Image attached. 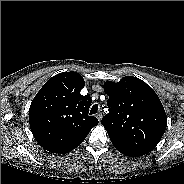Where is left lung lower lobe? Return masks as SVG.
<instances>
[{"label":"left lung lower lobe","instance_id":"1","mask_svg":"<svg viewBox=\"0 0 184 184\" xmlns=\"http://www.w3.org/2000/svg\"><path fill=\"white\" fill-rule=\"evenodd\" d=\"M114 147H115L119 152H121L122 154H124V155H126V156L138 157V156L145 155V154H141V153L138 152V151L128 149V148H126V147H124V146L114 145Z\"/></svg>","mask_w":184,"mask_h":184}]
</instances>
